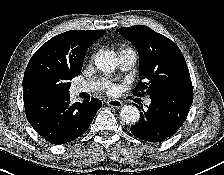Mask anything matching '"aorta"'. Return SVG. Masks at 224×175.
<instances>
[{
    "label": "aorta",
    "instance_id": "aorta-1",
    "mask_svg": "<svg viewBox=\"0 0 224 175\" xmlns=\"http://www.w3.org/2000/svg\"><path fill=\"white\" fill-rule=\"evenodd\" d=\"M96 67L106 73L113 72L118 66V59L111 51L97 54L95 58ZM120 118L126 124H135L140 119V112L133 105H126L120 111Z\"/></svg>",
    "mask_w": 224,
    "mask_h": 175
}]
</instances>
